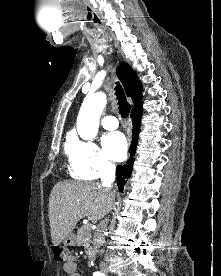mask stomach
Masks as SVG:
<instances>
[{
  "mask_svg": "<svg viewBox=\"0 0 221 276\" xmlns=\"http://www.w3.org/2000/svg\"><path fill=\"white\" fill-rule=\"evenodd\" d=\"M64 245L67 246H74L76 244V238L73 233H70L64 240H63Z\"/></svg>",
  "mask_w": 221,
  "mask_h": 276,
  "instance_id": "0dacf381",
  "label": "stomach"
}]
</instances>
